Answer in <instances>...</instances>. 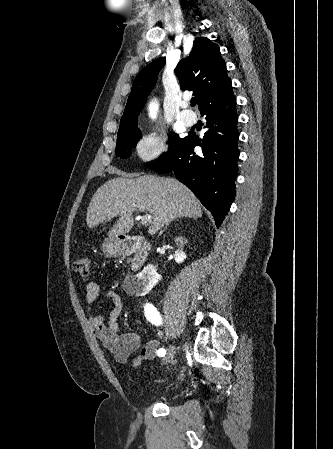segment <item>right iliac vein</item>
Returning a JSON list of instances; mask_svg holds the SVG:
<instances>
[{"mask_svg": "<svg viewBox=\"0 0 333 449\" xmlns=\"http://www.w3.org/2000/svg\"><path fill=\"white\" fill-rule=\"evenodd\" d=\"M175 355V346L174 345H170L166 355L163 358V364H168L174 357Z\"/></svg>", "mask_w": 333, "mask_h": 449, "instance_id": "63e3f726", "label": "right iliac vein"}]
</instances>
